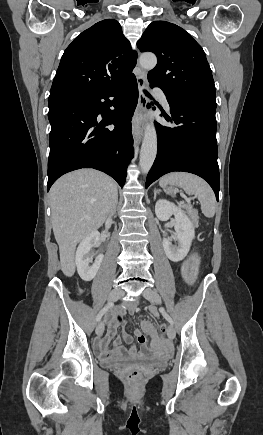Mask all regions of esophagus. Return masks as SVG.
Instances as JSON below:
<instances>
[{
	"label": "esophagus",
	"instance_id": "34e87169",
	"mask_svg": "<svg viewBox=\"0 0 263 435\" xmlns=\"http://www.w3.org/2000/svg\"><path fill=\"white\" fill-rule=\"evenodd\" d=\"M137 84L139 91L138 104L132 121V135L135 146L140 143L143 135V122L139 121L138 116L141 112L145 111L148 103V99L144 93V90L148 86L146 71L141 69L140 75L137 77Z\"/></svg>",
	"mask_w": 263,
	"mask_h": 435
}]
</instances>
